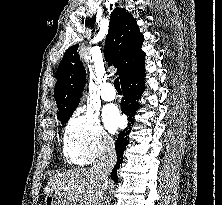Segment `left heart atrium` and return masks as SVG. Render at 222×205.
<instances>
[{
	"label": "left heart atrium",
	"instance_id": "obj_1",
	"mask_svg": "<svg viewBox=\"0 0 222 205\" xmlns=\"http://www.w3.org/2000/svg\"><path fill=\"white\" fill-rule=\"evenodd\" d=\"M103 119L110 131H115L121 124V117L115 106H108L103 111Z\"/></svg>",
	"mask_w": 222,
	"mask_h": 205
}]
</instances>
